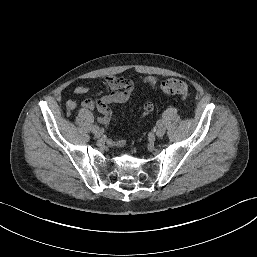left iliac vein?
I'll list each match as a JSON object with an SVG mask.
<instances>
[{"instance_id":"obj_1","label":"left iliac vein","mask_w":257,"mask_h":257,"mask_svg":"<svg viewBox=\"0 0 257 257\" xmlns=\"http://www.w3.org/2000/svg\"><path fill=\"white\" fill-rule=\"evenodd\" d=\"M164 134H165V128L162 126H158L155 130V135L160 138V137H163Z\"/></svg>"}]
</instances>
